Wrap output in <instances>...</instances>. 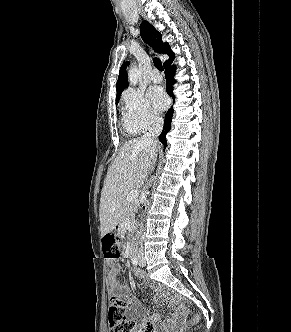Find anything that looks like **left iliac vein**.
Here are the masks:
<instances>
[{"mask_svg":"<svg viewBox=\"0 0 291 332\" xmlns=\"http://www.w3.org/2000/svg\"><path fill=\"white\" fill-rule=\"evenodd\" d=\"M139 265L141 267H144L146 265V261H145V259L143 257L139 258Z\"/></svg>","mask_w":291,"mask_h":332,"instance_id":"left-iliac-vein-1","label":"left iliac vein"}]
</instances>
